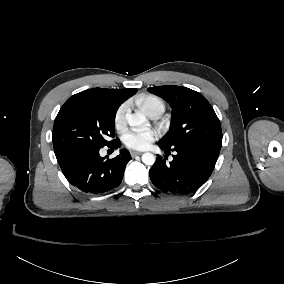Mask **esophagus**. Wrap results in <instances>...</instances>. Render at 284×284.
<instances>
[{
  "instance_id": "obj_1",
  "label": "esophagus",
  "mask_w": 284,
  "mask_h": 284,
  "mask_svg": "<svg viewBox=\"0 0 284 284\" xmlns=\"http://www.w3.org/2000/svg\"><path fill=\"white\" fill-rule=\"evenodd\" d=\"M142 154H143V152L131 151V156H132V157H135V156H137V155H142Z\"/></svg>"
}]
</instances>
